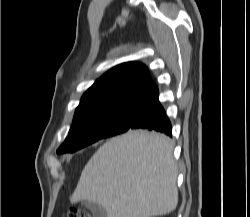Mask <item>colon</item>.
Returning <instances> with one entry per match:
<instances>
[{"instance_id": "5ec220e1", "label": "colon", "mask_w": 250, "mask_h": 217, "mask_svg": "<svg viewBox=\"0 0 250 217\" xmlns=\"http://www.w3.org/2000/svg\"><path fill=\"white\" fill-rule=\"evenodd\" d=\"M64 217H92L88 212L79 209V208H71L67 211Z\"/></svg>"}]
</instances>
